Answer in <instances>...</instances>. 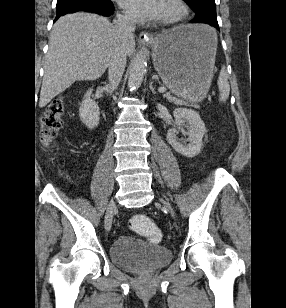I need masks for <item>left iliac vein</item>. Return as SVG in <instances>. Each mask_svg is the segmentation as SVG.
<instances>
[{
  "label": "left iliac vein",
  "instance_id": "obj_1",
  "mask_svg": "<svg viewBox=\"0 0 286 308\" xmlns=\"http://www.w3.org/2000/svg\"><path fill=\"white\" fill-rule=\"evenodd\" d=\"M162 203H163L164 207L167 208L168 211L171 213L172 217H175L174 211H173L172 207L170 206V204L166 201H163V200H162Z\"/></svg>",
  "mask_w": 286,
  "mask_h": 308
}]
</instances>
